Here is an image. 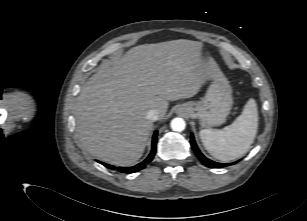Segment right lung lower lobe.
<instances>
[{
	"instance_id": "right-lung-lower-lobe-1",
	"label": "right lung lower lobe",
	"mask_w": 307,
	"mask_h": 221,
	"mask_svg": "<svg viewBox=\"0 0 307 221\" xmlns=\"http://www.w3.org/2000/svg\"><path fill=\"white\" fill-rule=\"evenodd\" d=\"M156 143H157V131H155L154 135H153V139H152V150H151V153L149 154V156L141 163L133 166V167H118L116 168L115 166L113 165H109V164H105L103 162H99L101 164H103L104 166H106L107 168H110L112 170H117L119 172H122V173H134V172H137L143 168H145L146 164L149 163L154 155H155V152H156Z\"/></svg>"
}]
</instances>
